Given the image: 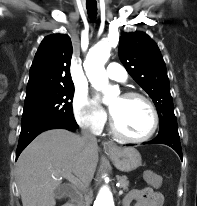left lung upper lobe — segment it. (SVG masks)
I'll list each match as a JSON object with an SVG mask.
<instances>
[{"label":"left lung upper lobe","mask_w":197,"mask_h":206,"mask_svg":"<svg viewBox=\"0 0 197 206\" xmlns=\"http://www.w3.org/2000/svg\"><path fill=\"white\" fill-rule=\"evenodd\" d=\"M119 58L156 105L160 120L158 135H179L166 65L157 44L143 32L123 33Z\"/></svg>","instance_id":"left-lung-upper-lobe-1"}]
</instances>
